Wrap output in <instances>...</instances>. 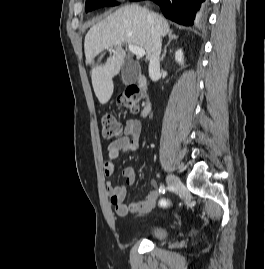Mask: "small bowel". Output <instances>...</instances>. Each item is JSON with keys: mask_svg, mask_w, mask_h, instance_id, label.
<instances>
[{"mask_svg": "<svg viewBox=\"0 0 265 269\" xmlns=\"http://www.w3.org/2000/svg\"><path fill=\"white\" fill-rule=\"evenodd\" d=\"M142 133V124L139 120L128 119L125 122L123 134L110 141L106 146L109 161L104 163V173L111 177L114 172L113 160L121 154L134 152L138 149ZM122 177L125 184H115L112 180L106 182V189L111 205L119 216H126L129 213L147 214L155 206L158 198V191L151 190L147 196L139 202L125 203L127 187H131L136 179L134 168L127 166L122 170Z\"/></svg>", "mask_w": 265, "mask_h": 269, "instance_id": "small-bowel-1", "label": "small bowel"}]
</instances>
